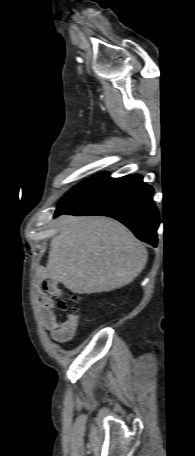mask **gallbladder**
Returning a JSON list of instances; mask_svg holds the SVG:
<instances>
[{
	"label": "gallbladder",
	"instance_id": "bac80fb5",
	"mask_svg": "<svg viewBox=\"0 0 195 456\" xmlns=\"http://www.w3.org/2000/svg\"><path fill=\"white\" fill-rule=\"evenodd\" d=\"M49 281H50L51 283H53V280L50 279Z\"/></svg>",
	"mask_w": 195,
	"mask_h": 456
}]
</instances>
